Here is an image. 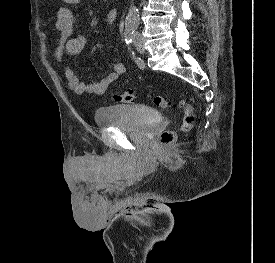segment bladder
Masks as SVG:
<instances>
[{"label": "bladder", "mask_w": 275, "mask_h": 263, "mask_svg": "<svg viewBox=\"0 0 275 263\" xmlns=\"http://www.w3.org/2000/svg\"><path fill=\"white\" fill-rule=\"evenodd\" d=\"M94 120L99 127L136 131L158 124L160 114L155 108L146 105H113L97 108Z\"/></svg>", "instance_id": "1"}]
</instances>
